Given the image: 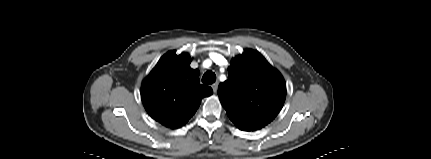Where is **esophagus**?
<instances>
[{
    "instance_id": "34e87169",
    "label": "esophagus",
    "mask_w": 431,
    "mask_h": 159,
    "mask_svg": "<svg viewBox=\"0 0 431 159\" xmlns=\"http://www.w3.org/2000/svg\"><path fill=\"white\" fill-rule=\"evenodd\" d=\"M212 89H213L214 93L217 92V90H218V82L212 84Z\"/></svg>"
}]
</instances>
